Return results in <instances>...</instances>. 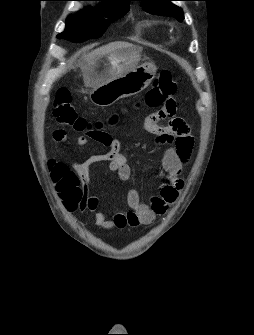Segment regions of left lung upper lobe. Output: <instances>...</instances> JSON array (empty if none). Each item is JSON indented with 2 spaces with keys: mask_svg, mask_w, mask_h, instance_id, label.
<instances>
[{
  "mask_svg": "<svg viewBox=\"0 0 254 335\" xmlns=\"http://www.w3.org/2000/svg\"><path fill=\"white\" fill-rule=\"evenodd\" d=\"M142 1L143 9L149 13L162 16H172L181 21L184 19L183 11L171 3L174 0H138Z\"/></svg>",
  "mask_w": 254,
  "mask_h": 335,
  "instance_id": "1",
  "label": "left lung upper lobe"
}]
</instances>
